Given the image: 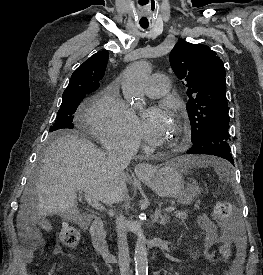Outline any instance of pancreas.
I'll return each instance as SVG.
<instances>
[{"mask_svg": "<svg viewBox=\"0 0 263 275\" xmlns=\"http://www.w3.org/2000/svg\"><path fill=\"white\" fill-rule=\"evenodd\" d=\"M174 216L182 221H185L188 215L185 211H175Z\"/></svg>", "mask_w": 263, "mask_h": 275, "instance_id": "pancreas-1", "label": "pancreas"}]
</instances>
